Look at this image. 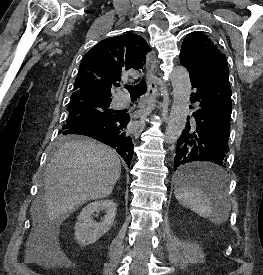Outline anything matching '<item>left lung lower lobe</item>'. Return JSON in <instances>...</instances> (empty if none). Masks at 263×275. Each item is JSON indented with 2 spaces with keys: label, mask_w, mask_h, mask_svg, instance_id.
I'll use <instances>...</instances> for the list:
<instances>
[{
  "label": "left lung lower lobe",
  "mask_w": 263,
  "mask_h": 275,
  "mask_svg": "<svg viewBox=\"0 0 263 275\" xmlns=\"http://www.w3.org/2000/svg\"><path fill=\"white\" fill-rule=\"evenodd\" d=\"M192 87L191 103L197 102L192 117L178 139L174 168L181 182H196L215 193L222 177L195 165L209 161L224 166L228 156V139L232 112L229 71L205 74L188 70ZM220 168V167H219Z\"/></svg>",
  "instance_id": "obj_1"
}]
</instances>
